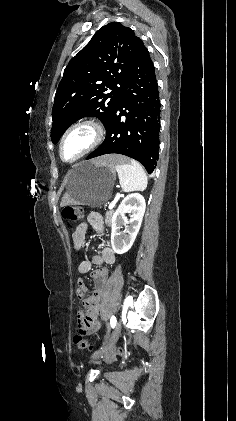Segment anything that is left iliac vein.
<instances>
[{"label": "left iliac vein", "mask_w": 236, "mask_h": 421, "mask_svg": "<svg viewBox=\"0 0 236 421\" xmlns=\"http://www.w3.org/2000/svg\"><path fill=\"white\" fill-rule=\"evenodd\" d=\"M120 332H121V323L117 322L111 336L107 339L105 346L102 349L94 352L90 358L97 359L103 353L111 351V349L114 347L115 343L117 342L119 338Z\"/></svg>", "instance_id": "4c4485c4"}]
</instances>
